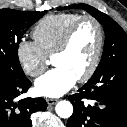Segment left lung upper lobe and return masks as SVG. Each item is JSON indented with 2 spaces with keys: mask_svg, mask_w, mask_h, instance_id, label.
Wrapping results in <instances>:
<instances>
[{
  "mask_svg": "<svg viewBox=\"0 0 127 127\" xmlns=\"http://www.w3.org/2000/svg\"><path fill=\"white\" fill-rule=\"evenodd\" d=\"M70 8L86 10L103 25L105 31V45L101 61L93 75L106 70L116 63L127 62V35L113 19L87 4H74L62 7L59 10Z\"/></svg>",
  "mask_w": 127,
  "mask_h": 127,
  "instance_id": "5c2ea615",
  "label": "left lung upper lobe"
}]
</instances>
